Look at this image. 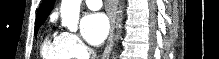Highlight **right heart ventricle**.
<instances>
[{
    "mask_svg": "<svg viewBox=\"0 0 219 59\" xmlns=\"http://www.w3.org/2000/svg\"><path fill=\"white\" fill-rule=\"evenodd\" d=\"M40 54L43 59H72L67 49L62 32L49 33L41 44Z\"/></svg>",
    "mask_w": 219,
    "mask_h": 59,
    "instance_id": "right-heart-ventricle-1",
    "label": "right heart ventricle"
}]
</instances>
